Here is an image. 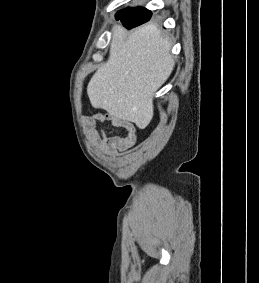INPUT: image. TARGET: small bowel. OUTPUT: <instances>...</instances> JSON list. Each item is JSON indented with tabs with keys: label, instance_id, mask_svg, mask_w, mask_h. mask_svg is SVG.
I'll list each match as a JSON object with an SVG mask.
<instances>
[{
	"label": "small bowel",
	"instance_id": "c3829d8e",
	"mask_svg": "<svg viewBox=\"0 0 259 283\" xmlns=\"http://www.w3.org/2000/svg\"><path fill=\"white\" fill-rule=\"evenodd\" d=\"M104 122H110L115 127L123 128L125 130L124 136H100L97 125ZM85 127L92 141L100 144L109 155L127 150L136 141V130L133 124L109 113H95L85 117Z\"/></svg>",
	"mask_w": 259,
	"mask_h": 283
}]
</instances>
